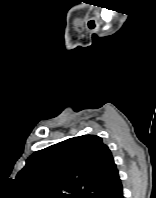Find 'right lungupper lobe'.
<instances>
[{"label":"right lung upper lobe","mask_w":156,"mask_h":198,"mask_svg":"<svg viewBox=\"0 0 156 198\" xmlns=\"http://www.w3.org/2000/svg\"><path fill=\"white\" fill-rule=\"evenodd\" d=\"M16 179L40 198H109L122 187L112 154L96 135L35 152Z\"/></svg>","instance_id":"right-lung-upper-lobe-1"}]
</instances>
